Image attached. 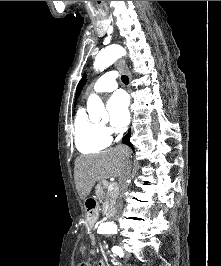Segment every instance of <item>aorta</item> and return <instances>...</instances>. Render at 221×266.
<instances>
[{"label": "aorta", "mask_w": 221, "mask_h": 266, "mask_svg": "<svg viewBox=\"0 0 221 266\" xmlns=\"http://www.w3.org/2000/svg\"><path fill=\"white\" fill-rule=\"evenodd\" d=\"M125 50L119 45H110L102 49L94 61V69L96 71H103L112 65L118 58L125 55ZM87 111L91 120H97L99 117H105L106 111L104 104L97 95H90L87 101ZM98 230L104 233H113L116 227L113 223L106 222L99 225Z\"/></svg>", "instance_id": "1"}]
</instances>
